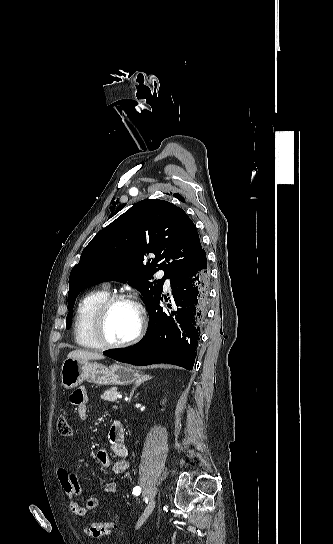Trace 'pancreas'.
Returning <instances> with one entry per match:
<instances>
[{"label": "pancreas", "mask_w": 333, "mask_h": 544, "mask_svg": "<svg viewBox=\"0 0 333 544\" xmlns=\"http://www.w3.org/2000/svg\"><path fill=\"white\" fill-rule=\"evenodd\" d=\"M117 389L116 388H111L107 391L104 392V394L101 396V398L105 401H109V402H117Z\"/></svg>", "instance_id": "1"}]
</instances>
